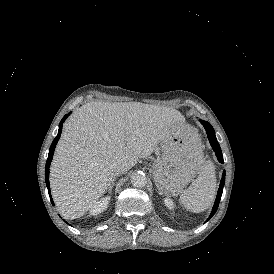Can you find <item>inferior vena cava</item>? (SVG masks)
Wrapping results in <instances>:
<instances>
[{
  "instance_id": "602c4592",
  "label": "inferior vena cava",
  "mask_w": 274,
  "mask_h": 274,
  "mask_svg": "<svg viewBox=\"0 0 274 274\" xmlns=\"http://www.w3.org/2000/svg\"><path fill=\"white\" fill-rule=\"evenodd\" d=\"M123 172H124V168L121 167L120 169H118V173L117 174L119 175V174H122Z\"/></svg>"
}]
</instances>
